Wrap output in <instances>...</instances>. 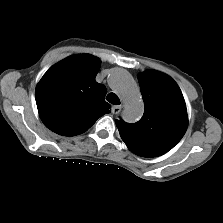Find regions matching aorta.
<instances>
[{
  "label": "aorta",
  "instance_id": "aorta-1",
  "mask_svg": "<svg viewBox=\"0 0 223 223\" xmlns=\"http://www.w3.org/2000/svg\"><path fill=\"white\" fill-rule=\"evenodd\" d=\"M108 81L125 102L123 119L129 123L140 120L144 113V102L131 74L125 69L115 68L111 71Z\"/></svg>",
  "mask_w": 223,
  "mask_h": 223
}]
</instances>
